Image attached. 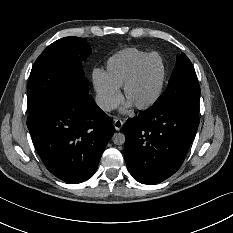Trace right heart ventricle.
<instances>
[{
	"label": "right heart ventricle",
	"mask_w": 233,
	"mask_h": 233,
	"mask_svg": "<svg viewBox=\"0 0 233 233\" xmlns=\"http://www.w3.org/2000/svg\"><path fill=\"white\" fill-rule=\"evenodd\" d=\"M149 54V52L137 48H125L111 55L105 64V74L118 88H122L124 82L135 67Z\"/></svg>",
	"instance_id": "1"
}]
</instances>
